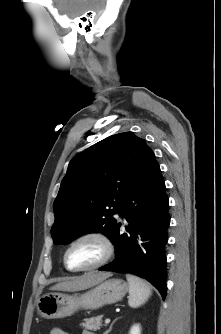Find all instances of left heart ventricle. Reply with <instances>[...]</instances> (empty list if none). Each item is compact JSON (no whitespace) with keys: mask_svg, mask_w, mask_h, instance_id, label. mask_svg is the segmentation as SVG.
Returning <instances> with one entry per match:
<instances>
[{"mask_svg":"<svg viewBox=\"0 0 221 334\" xmlns=\"http://www.w3.org/2000/svg\"><path fill=\"white\" fill-rule=\"evenodd\" d=\"M103 255L101 244L95 240H84L72 247L68 263L73 268H81L96 263Z\"/></svg>","mask_w":221,"mask_h":334,"instance_id":"obj_1","label":"left heart ventricle"}]
</instances>
